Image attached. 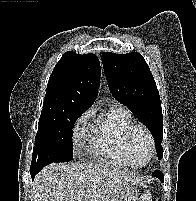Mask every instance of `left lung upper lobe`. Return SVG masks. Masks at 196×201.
<instances>
[{
	"label": "left lung upper lobe",
	"instance_id": "5c2ea615",
	"mask_svg": "<svg viewBox=\"0 0 196 201\" xmlns=\"http://www.w3.org/2000/svg\"><path fill=\"white\" fill-rule=\"evenodd\" d=\"M102 63L109 89L152 133L158 158L163 157V116L153 75L141 54L104 52Z\"/></svg>",
	"mask_w": 196,
	"mask_h": 201
}]
</instances>
